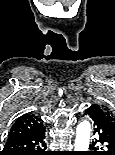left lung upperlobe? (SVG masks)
Segmentation results:
<instances>
[{"label":"left lung upper lobe","instance_id":"obj_1","mask_svg":"<svg viewBox=\"0 0 115 155\" xmlns=\"http://www.w3.org/2000/svg\"><path fill=\"white\" fill-rule=\"evenodd\" d=\"M103 110L106 114V117H107L109 123H110V127H111L112 131L115 132V115L107 109H103ZM114 136H115V133H114Z\"/></svg>","mask_w":115,"mask_h":155}]
</instances>
